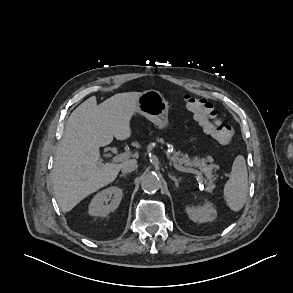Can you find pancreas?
<instances>
[{"mask_svg": "<svg viewBox=\"0 0 293 293\" xmlns=\"http://www.w3.org/2000/svg\"><path fill=\"white\" fill-rule=\"evenodd\" d=\"M160 141L162 140L160 139ZM170 162L185 168L199 169L206 177V190L212 192L215 188L214 181L217 179V176L213 171L218 166L216 164H208V162H212V158H199L197 156L190 158L187 154L174 151L170 155Z\"/></svg>", "mask_w": 293, "mask_h": 293, "instance_id": "pancreas-1", "label": "pancreas"}]
</instances>
